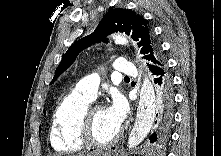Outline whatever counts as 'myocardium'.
Here are the masks:
<instances>
[{
  "label": "myocardium",
  "mask_w": 221,
  "mask_h": 156,
  "mask_svg": "<svg viewBox=\"0 0 221 156\" xmlns=\"http://www.w3.org/2000/svg\"><path fill=\"white\" fill-rule=\"evenodd\" d=\"M96 106L88 105L84 110L78 127V137L80 141L90 147L96 148H107L114 145L119 138L121 137V130L118 132L108 141L100 142L98 141L92 131V122H93V110Z\"/></svg>",
  "instance_id": "myocardium-1"
}]
</instances>
